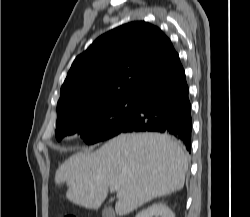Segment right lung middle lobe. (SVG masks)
<instances>
[{
	"mask_svg": "<svg viewBox=\"0 0 250 217\" xmlns=\"http://www.w3.org/2000/svg\"><path fill=\"white\" fill-rule=\"evenodd\" d=\"M133 111L132 98L101 103L56 123L55 135L58 141L79 135L87 144H94L118 135L131 121Z\"/></svg>",
	"mask_w": 250,
	"mask_h": 217,
	"instance_id": "obj_1",
	"label": "right lung middle lobe"
}]
</instances>
